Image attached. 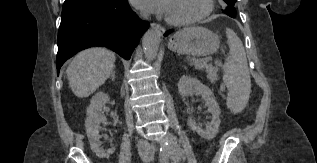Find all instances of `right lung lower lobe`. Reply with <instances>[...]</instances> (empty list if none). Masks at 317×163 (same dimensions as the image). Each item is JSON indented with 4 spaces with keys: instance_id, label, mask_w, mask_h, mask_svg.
<instances>
[{
    "instance_id": "98d812e1",
    "label": "right lung lower lobe",
    "mask_w": 317,
    "mask_h": 163,
    "mask_svg": "<svg viewBox=\"0 0 317 163\" xmlns=\"http://www.w3.org/2000/svg\"><path fill=\"white\" fill-rule=\"evenodd\" d=\"M148 27L127 0L63 16L57 39V72L67 59L92 46H105L129 59Z\"/></svg>"
}]
</instances>
